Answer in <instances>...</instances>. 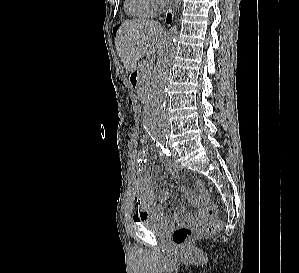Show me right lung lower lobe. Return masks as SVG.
<instances>
[{
	"mask_svg": "<svg viewBox=\"0 0 299 273\" xmlns=\"http://www.w3.org/2000/svg\"><path fill=\"white\" fill-rule=\"evenodd\" d=\"M171 14H168V16H167V23H171Z\"/></svg>",
	"mask_w": 299,
	"mask_h": 273,
	"instance_id": "98d812e1",
	"label": "right lung lower lobe"
}]
</instances>
